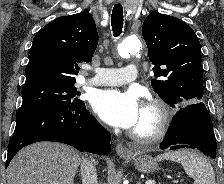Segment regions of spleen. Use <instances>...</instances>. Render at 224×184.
<instances>
[{"instance_id": "obj_1", "label": "spleen", "mask_w": 224, "mask_h": 184, "mask_svg": "<svg viewBox=\"0 0 224 184\" xmlns=\"http://www.w3.org/2000/svg\"><path fill=\"white\" fill-rule=\"evenodd\" d=\"M155 160H170L180 163L195 184H215L213 167L205 157L195 151L181 150L158 155Z\"/></svg>"}]
</instances>
